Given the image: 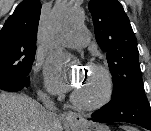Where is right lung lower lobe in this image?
Here are the masks:
<instances>
[{
    "label": "right lung lower lobe",
    "mask_w": 151,
    "mask_h": 131,
    "mask_svg": "<svg viewBox=\"0 0 151 131\" xmlns=\"http://www.w3.org/2000/svg\"><path fill=\"white\" fill-rule=\"evenodd\" d=\"M29 86V81H27V83L25 84V87H28Z\"/></svg>",
    "instance_id": "right-lung-lower-lobe-1"
}]
</instances>
